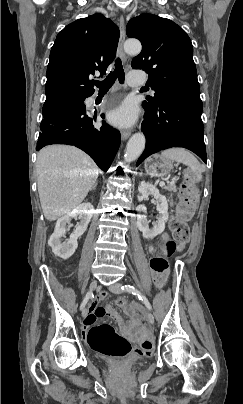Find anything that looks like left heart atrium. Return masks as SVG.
<instances>
[{
    "instance_id": "left-heart-atrium-1",
    "label": "left heart atrium",
    "mask_w": 243,
    "mask_h": 404,
    "mask_svg": "<svg viewBox=\"0 0 243 404\" xmlns=\"http://www.w3.org/2000/svg\"><path fill=\"white\" fill-rule=\"evenodd\" d=\"M107 120L114 126H130L135 121V114L131 106L124 104L111 110L107 115Z\"/></svg>"
}]
</instances>
